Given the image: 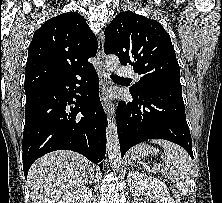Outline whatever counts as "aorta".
<instances>
[{"mask_svg": "<svg viewBox=\"0 0 222 203\" xmlns=\"http://www.w3.org/2000/svg\"><path fill=\"white\" fill-rule=\"evenodd\" d=\"M119 64V59L116 55H108L105 58V70L108 74L113 73ZM107 139V153L110 164L113 168L119 169L121 167V151L117 133V126L115 119L108 118L106 129Z\"/></svg>", "mask_w": 222, "mask_h": 203, "instance_id": "aorta-1", "label": "aorta"}]
</instances>
